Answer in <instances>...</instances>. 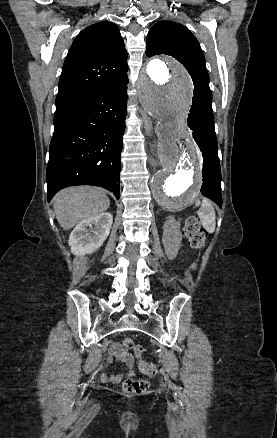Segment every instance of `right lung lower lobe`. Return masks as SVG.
I'll return each instance as SVG.
<instances>
[{
  "mask_svg": "<svg viewBox=\"0 0 277 438\" xmlns=\"http://www.w3.org/2000/svg\"><path fill=\"white\" fill-rule=\"evenodd\" d=\"M114 64L98 65V72ZM127 74L56 107L46 171L47 199L73 185H95L119 199L120 154L127 114Z\"/></svg>",
  "mask_w": 277,
  "mask_h": 438,
  "instance_id": "1",
  "label": "right lung lower lobe"
}]
</instances>
